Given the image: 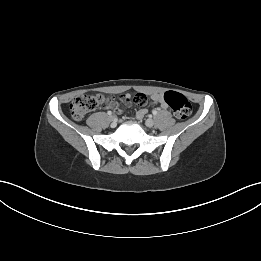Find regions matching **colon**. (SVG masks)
I'll list each match as a JSON object with an SVG mask.
<instances>
[{
    "mask_svg": "<svg viewBox=\"0 0 261 261\" xmlns=\"http://www.w3.org/2000/svg\"><path fill=\"white\" fill-rule=\"evenodd\" d=\"M163 98L165 102L168 104V106L173 110L175 116L178 119L185 120L191 115L192 106L190 102L187 100V98L181 93L175 91H168L163 94ZM104 100L105 98L102 95H79L75 97L70 104L71 115L75 120L80 121Z\"/></svg>",
    "mask_w": 261,
    "mask_h": 261,
    "instance_id": "5ec220e1",
    "label": "colon"
}]
</instances>
